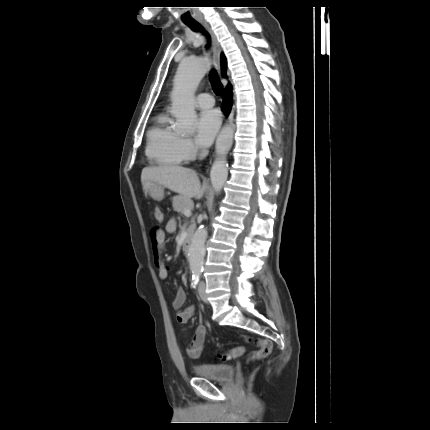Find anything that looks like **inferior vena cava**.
<instances>
[{"mask_svg": "<svg viewBox=\"0 0 430 430\" xmlns=\"http://www.w3.org/2000/svg\"><path fill=\"white\" fill-rule=\"evenodd\" d=\"M207 153H208V151H207V150H203V151H202V155H203V156H206V155H207Z\"/></svg>", "mask_w": 430, "mask_h": 430, "instance_id": "1", "label": "inferior vena cava"}]
</instances>
